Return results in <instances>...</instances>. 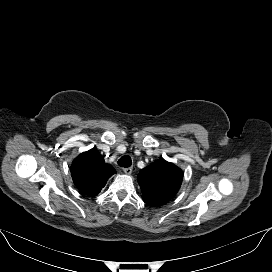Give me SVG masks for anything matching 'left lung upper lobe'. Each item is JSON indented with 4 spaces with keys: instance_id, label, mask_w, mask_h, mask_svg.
Segmentation results:
<instances>
[{
    "instance_id": "1",
    "label": "left lung upper lobe",
    "mask_w": 272,
    "mask_h": 272,
    "mask_svg": "<svg viewBox=\"0 0 272 272\" xmlns=\"http://www.w3.org/2000/svg\"><path fill=\"white\" fill-rule=\"evenodd\" d=\"M182 178V171L173 163L165 160L153 162L138 175L144 202L150 206L167 203L178 192Z\"/></svg>"
}]
</instances>
